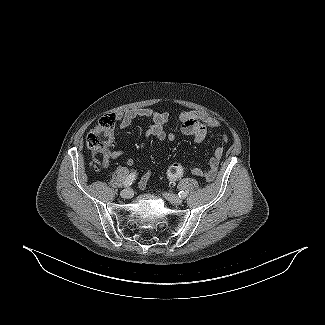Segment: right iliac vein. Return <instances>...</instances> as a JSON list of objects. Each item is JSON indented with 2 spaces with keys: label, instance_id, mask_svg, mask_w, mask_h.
<instances>
[{
  "label": "right iliac vein",
  "instance_id": "63e3f726",
  "mask_svg": "<svg viewBox=\"0 0 325 325\" xmlns=\"http://www.w3.org/2000/svg\"><path fill=\"white\" fill-rule=\"evenodd\" d=\"M133 196V191L130 188L121 191V197L124 199H131Z\"/></svg>",
  "mask_w": 325,
  "mask_h": 325
}]
</instances>
